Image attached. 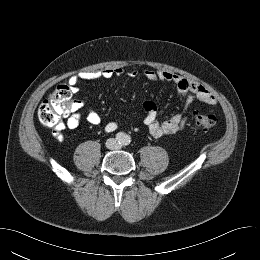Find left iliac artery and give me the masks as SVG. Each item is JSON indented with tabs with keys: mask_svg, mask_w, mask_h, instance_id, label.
<instances>
[{
	"mask_svg": "<svg viewBox=\"0 0 260 260\" xmlns=\"http://www.w3.org/2000/svg\"><path fill=\"white\" fill-rule=\"evenodd\" d=\"M130 142H131V138L129 136H125L124 143L128 145L130 144Z\"/></svg>",
	"mask_w": 260,
	"mask_h": 260,
	"instance_id": "obj_1",
	"label": "left iliac artery"
}]
</instances>
